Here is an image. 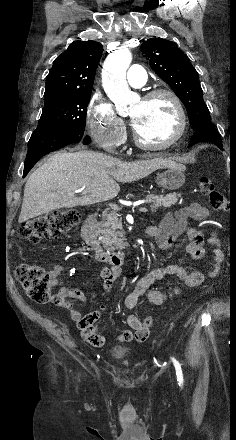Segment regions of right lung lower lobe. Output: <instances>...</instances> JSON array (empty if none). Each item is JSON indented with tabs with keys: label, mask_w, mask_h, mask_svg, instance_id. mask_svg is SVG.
Instances as JSON below:
<instances>
[{
	"label": "right lung lower lobe",
	"mask_w": 236,
	"mask_h": 440,
	"mask_svg": "<svg viewBox=\"0 0 236 440\" xmlns=\"http://www.w3.org/2000/svg\"><path fill=\"white\" fill-rule=\"evenodd\" d=\"M83 134L78 131H34L28 144L23 177L44 155L75 142L83 141V144H89V136L84 137Z\"/></svg>",
	"instance_id": "98d812e1"
}]
</instances>
